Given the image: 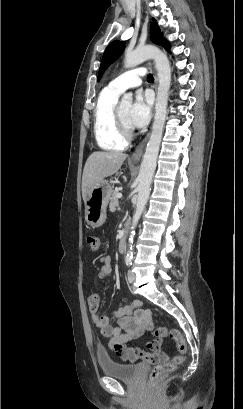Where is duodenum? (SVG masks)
<instances>
[{"label": "duodenum", "instance_id": "duodenum-1", "mask_svg": "<svg viewBox=\"0 0 243 409\" xmlns=\"http://www.w3.org/2000/svg\"><path fill=\"white\" fill-rule=\"evenodd\" d=\"M126 244H127V231L124 230V231L122 232L121 237H120L119 246H118L119 251H120L121 253H123V252L125 251V249H126Z\"/></svg>", "mask_w": 243, "mask_h": 409}]
</instances>
